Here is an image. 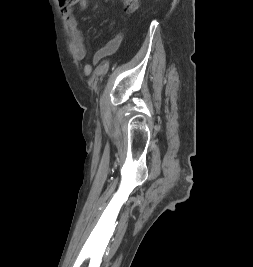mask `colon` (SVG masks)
I'll return each instance as SVG.
<instances>
[{"instance_id":"colon-1","label":"colon","mask_w":253,"mask_h":267,"mask_svg":"<svg viewBox=\"0 0 253 267\" xmlns=\"http://www.w3.org/2000/svg\"><path fill=\"white\" fill-rule=\"evenodd\" d=\"M62 7H70L75 5L79 0H59ZM124 8L127 12H132L138 7V0H123Z\"/></svg>"}]
</instances>
